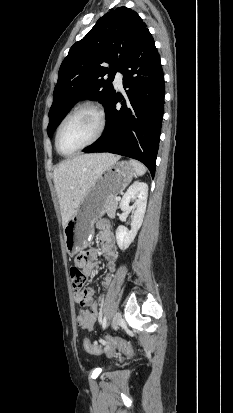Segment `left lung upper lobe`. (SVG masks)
<instances>
[{
  "label": "left lung upper lobe",
  "mask_w": 233,
  "mask_h": 413,
  "mask_svg": "<svg viewBox=\"0 0 233 413\" xmlns=\"http://www.w3.org/2000/svg\"><path fill=\"white\" fill-rule=\"evenodd\" d=\"M148 32L140 16L120 7L101 17L89 33L76 42L63 60L49 111L48 135L52 136L72 105L90 97L105 109L115 95L111 75L120 71ZM110 64L109 68L104 64ZM108 74V79L103 76Z\"/></svg>",
  "instance_id": "left-lung-upper-lobe-1"
}]
</instances>
